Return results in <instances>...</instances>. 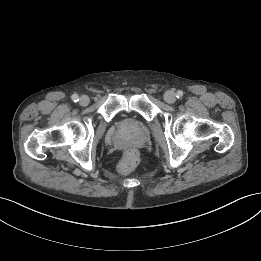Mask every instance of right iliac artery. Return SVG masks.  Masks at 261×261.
Listing matches in <instances>:
<instances>
[{
	"label": "right iliac artery",
	"instance_id": "82829eb1",
	"mask_svg": "<svg viewBox=\"0 0 261 261\" xmlns=\"http://www.w3.org/2000/svg\"><path fill=\"white\" fill-rule=\"evenodd\" d=\"M72 100H73L74 102H78V101H79L78 95H77V94H73V95H72Z\"/></svg>",
	"mask_w": 261,
	"mask_h": 261
}]
</instances>
